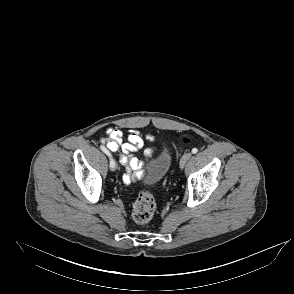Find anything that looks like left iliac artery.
Returning <instances> with one entry per match:
<instances>
[{
  "instance_id": "left-iliac-artery-1",
  "label": "left iliac artery",
  "mask_w": 294,
  "mask_h": 294,
  "mask_svg": "<svg viewBox=\"0 0 294 294\" xmlns=\"http://www.w3.org/2000/svg\"><path fill=\"white\" fill-rule=\"evenodd\" d=\"M197 152H198V149H197V148H193V149H192V153H193V154H195V153H197Z\"/></svg>"
}]
</instances>
